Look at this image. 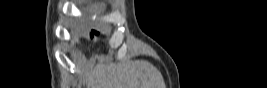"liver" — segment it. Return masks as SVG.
<instances>
[{
    "label": "liver",
    "mask_w": 267,
    "mask_h": 88,
    "mask_svg": "<svg viewBox=\"0 0 267 88\" xmlns=\"http://www.w3.org/2000/svg\"><path fill=\"white\" fill-rule=\"evenodd\" d=\"M88 88H165L161 73L147 61L98 64L94 68L84 55H74Z\"/></svg>",
    "instance_id": "1"
}]
</instances>
